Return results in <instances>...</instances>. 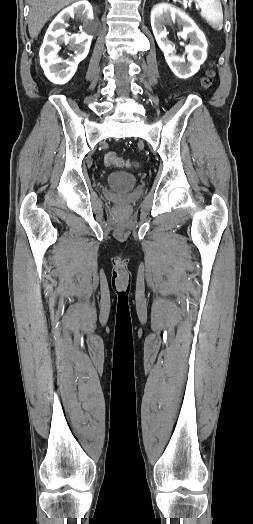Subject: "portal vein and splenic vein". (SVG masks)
<instances>
[{
	"instance_id": "18ae733b",
	"label": "portal vein and splenic vein",
	"mask_w": 253,
	"mask_h": 524,
	"mask_svg": "<svg viewBox=\"0 0 253 524\" xmlns=\"http://www.w3.org/2000/svg\"><path fill=\"white\" fill-rule=\"evenodd\" d=\"M184 5L187 6V5H190V2H188L187 0L184 1ZM196 8H202V6H196Z\"/></svg>"
}]
</instances>
